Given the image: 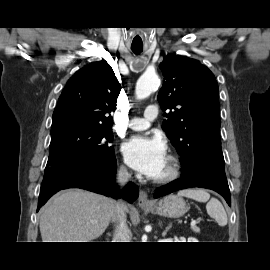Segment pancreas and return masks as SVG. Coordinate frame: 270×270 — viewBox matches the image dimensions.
Returning a JSON list of instances; mask_svg holds the SVG:
<instances>
[{"mask_svg": "<svg viewBox=\"0 0 270 270\" xmlns=\"http://www.w3.org/2000/svg\"><path fill=\"white\" fill-rule=\"evenodd\" d=\"M191 229L195 232V233H199L200 232V228L197 226H192Z\"/></svg>", "mask_w": 270, "mask_h": 270, "instance_id": "obj_1", "label": "pancreas"}]
</instances>
